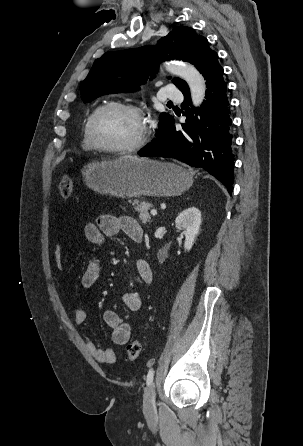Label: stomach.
I'll return each instance as SVG.
<instances>
[{
  "mask_svg": "<svg viewBox=\"0 0 303 446\" xmlns=\"http://www.w3.org/2000/svg\"><path fill=\"white\" fill-rule=\"evenodd\" d=\"M82 175L93 191L120 198L175 196L193 183L191 173L174 163L127 157L89 163Z\"/></svg>",
  "mask_w": 303,
  "mask_h": 446,
  "instance_id": "obj_1",
  "label": "stomach"
}]
</instances>
